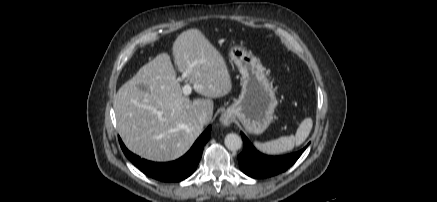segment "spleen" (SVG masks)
<instances>
[{
	"label": "spleen",
	"mask_w": 437,
	"mask_h": 202,
	"mask_svg": "<svg viewBox=\"0 0 437 202\" xmlns=\"http://www.w3.org/2000/svg\"><path fill=\"white\" fill-rule=\"evenodd\" d=\"M312 126V119L306 118L300 123L295 136H283L265 143L254 142V145L259 151L266 154L284 153L292 150L295 146L301 145L309 136Z\"/></svg>",
	"instance_id": "3e777b00"
}]
</instances>
